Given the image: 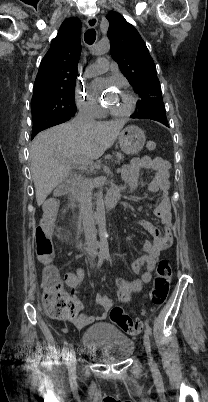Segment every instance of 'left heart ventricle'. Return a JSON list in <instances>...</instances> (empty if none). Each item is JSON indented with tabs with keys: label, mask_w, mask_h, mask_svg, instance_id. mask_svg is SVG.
Wrapping results in <instances>:
<instances>
[{
	"label": "left heart ventricle",
	"mask_w": 208,
	"mask_h": 402,
	"mask_svg": "<svg viewBox=\"0 0 208 402\" xmlns=\"http://www.w3.org/2000/svg\"><path fill=\"white\" fill-rule=\"evenodd\" d=\"M92 94L96 95L94 88L92 89ZM106 100L115 109H126L130 104V98L124 91L118 95L110 96Z\"/></svg>",
	"instance_id": "1"
}]
</instances>
